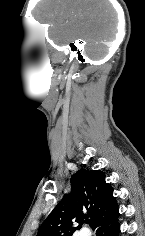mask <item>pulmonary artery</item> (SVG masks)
<instances>
[{
	"instance_id": "obj_1",
	"label": "pulmonary artery",
	"mask_w": 145,
	"mask_h": 236,
	"mask_svg": "<svg viewBox=\"0 0 145 236\" xmlns=\"http://www.w3.org/2000/svg\"><path fill=\"white\" fill-rule=\"evenodd\" d=\"M80 236H90V234L87 229H82L80 231Z\"/></svg>"
}]
</instances>
